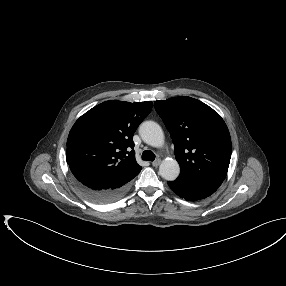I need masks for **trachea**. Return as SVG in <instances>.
<instances>
[{
	"instance_id": "1",
	"label": "trachea",
	"mask_w": 286,
	"mask_h": 286,
	"mask_svg": "<svg viewBox=\"0 0 286 286\" xmlns=\"http://www.w3.org/2000/svg\"><path fill=\"white\" fill-rule=\"evenodd\" d=\"M142 159L143 160H147V161H154L155 154L152 151H150V150H145L142 153Z\"/></svg>"
}]
</instances>
